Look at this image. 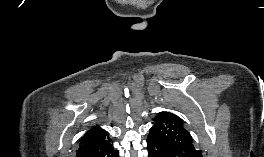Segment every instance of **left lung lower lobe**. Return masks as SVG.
<instances>
[{"label":"left lung lower lobe","instance_id":"obj_1","mask_svg":"<svg viewBox=\"0 0 264 157\" xmlns=\"http://www.w3.org/2000/svg\"><path fill=\"white\" fill-rule=\"evenodd\" d=\"M148 157H172L171 151L163 144L147 139Z\"/></svg>","mask_w":264,"mask_h":157}]
</instances>
